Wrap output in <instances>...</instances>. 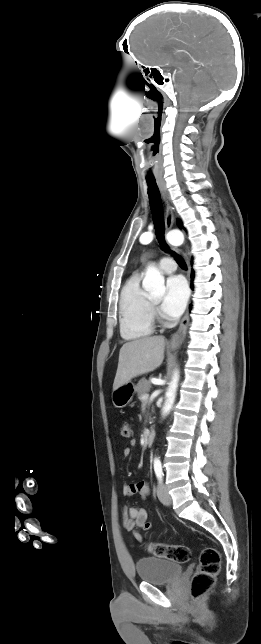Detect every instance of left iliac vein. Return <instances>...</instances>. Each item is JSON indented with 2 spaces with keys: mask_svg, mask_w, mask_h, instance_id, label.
<instances>
[{
  "mask_svg": "<svg viewBox=\"0 0 261 644\" xmlns=\"http://www.w3.org/2000/svg\"><path fill=\"white\" fill-rule=\"evenodd\" d=\"M157 496L160 502L166 506L172 503V498L168 493L166 486L161 482L158 484V487H157Z\"/></svg>",
  "mask_w": 261,
  "mask_h": 644,
  "instance_id": "obj_1",
  "label": "left iliac vein"
}]
</instances>
